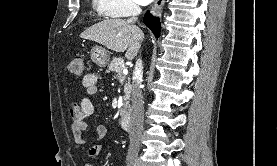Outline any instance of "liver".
I'll list each match as a JSON object with an SVG mask.
<instances>
[{
    "instance_id": "6515ba94",
    "label": "liver",
    "mask_w": 277,
    "mask_h": 166,
    "mask_svg": "<svg viewBox=\"0 0 277 166\" xmlns=\"http://www.w3.org/2000/svg\"><path fill=\"white\" fill-rule=\"evenodd\" d=\"M80 37L95 41L115 52L126 51L125 57L132 60L140 49L144 33L124 19H107L86 29Z\"/></svg>"
}]
</instances>
